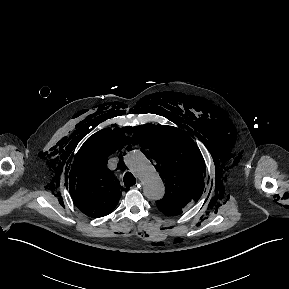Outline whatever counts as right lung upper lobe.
Returning a JSON list of instances; mask_svg holds the SVG:
<instances>
[{
	"mask_svg": "<svg viewBox=\"0 0 289 289\" xmlns=\"http://www.w3.org/2000/svg\"><path fill=\"white\" fill-rule=\"evenodd\" d=\"M128 137L119 128L96 133L80 148L69 175V190L77 208L89 217L108 215L123 187L107 168L108 156L123 148Z\"/></svg>",
	"mask_w": 289,
	"mask_h": 289,
	"instance_id": "obj_1",
	"label": "right lung upper lobe"
}]
</instances>
